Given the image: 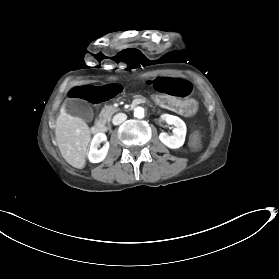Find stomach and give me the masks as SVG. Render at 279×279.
<instances>
[{"mask_svg": "<svg viewBox=\"0 0 279 279\" xmlns=\"http://www.w3.org/2000/svg\"><path fill=\"white\" fill-rule=\"evenodd\" d=\"M154 103L156 106H163V108L170 111L177 109L184 117H194L198 113V104L194 100H177V98L167 95L165 97H156Z\"/></svg>", "mask_w": 279, "mask_h": 279, "instance_id": "stomach-1", "label": "stomach"}]
</instances>
